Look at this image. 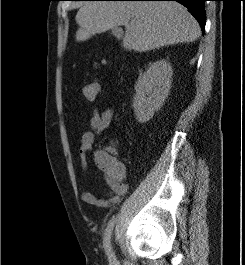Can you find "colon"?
I'll return each mask as SVG.
<instances>
[{"instance_id": "1", "label": "colon", "mask_w": 245, "mask_h": 265, "mask_svg": "<svg viewBox=\"0 0 245 265\" xmlns=\"http://www.w3.org/2000/svg\"><path fill=\"white\" fill-rule=\"evenodd\" d=\"M100 91V86L97 81H92L83 87V95L86 100L94 101L97 99ZM100 170L113 177H119L123 174L122 164L113 156L108 154H101L99 156Z\"/></svg>"}]
</instances>
